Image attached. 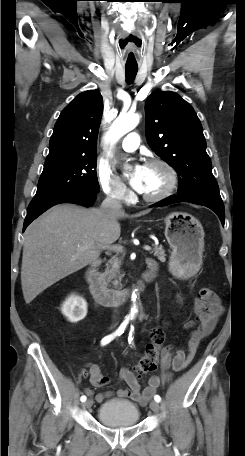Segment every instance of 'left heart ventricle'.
Returning a JSON list of instances; mask_svg holds the SVG:
<instances>
[{
	"label": "left heart ventricle",
	"instance_id": "b2bd125f",
	"mask_svg": "<svg viewBox=\"0 0 245 456\" xmlns=\"http://www.w3.org/2000/svg\"><path fill=\"white\" fill-rule=\"evenodd\" d=\"M168 183L166 171L159 166H145L141 193L153 195L162 191Z\"/></svg>",
	"mask_w": 245,
	"mask_h": 456
}]
</instances>
